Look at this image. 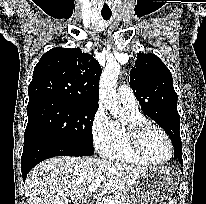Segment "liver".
I'll list each match as a JSON object with an SVG mask.
<instances>
[{
    "label": "liver",
    "instance_id": "6515ba94",
    "mask_svg": "<svg viewBox=\"0 0 206 204\" xmlns=\"http://www.w3.org/2000/svg\"><path fill=\"white\" fill-rule=\"evenodd\" d=\"M148 169L92 157H55L35 166L26 184L29 204H71L85 199L88 187L103 176L101 191L119 192L131 186Z\"/></svg>",
    "mask_w": 206,
    "mask_h": 204
}]
</instances>
